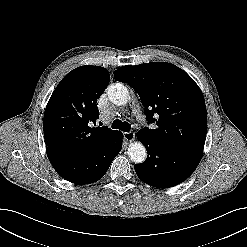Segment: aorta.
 <instances>
[{
	"label": "aorta",
	"mask_w": 247,
	"mask_h": 247,
	"mask_svg": "<svg viewBox=\"0 0 247 247\" xmlns=\"http://www.w3.org/2000/svg\"><path fill=\"white\" fill-rule=\"evenodd\" d=\"M107 94L109 100L116 105H125L129 100V91L122 83L111 84ZM127 153L134 163L144 162L147 156L144 145L139 141L130 143Z\"/></svg>",
	"instance_id": "1"
}]
</instances>
